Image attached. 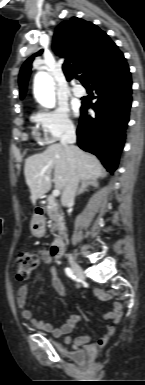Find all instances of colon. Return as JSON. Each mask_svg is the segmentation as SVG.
I'll use <instances>...</instances> for the list:
<instances>
[{"label":"colon","mask_w":145,"mask_h":385,"mask_svg":"<svg viewBox=\"0 0 145 385\" xmlns=\"http://www.w3.org/2000/svg\"><path fill=\"white\" fill-rule=\"evenodd\" d=\"M38 265V257L35 253L22 251L16 259V275L20 280L30 277Z\"/></svg>","instance_id":"5ec220e1"}]
</instances>
